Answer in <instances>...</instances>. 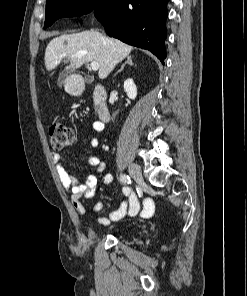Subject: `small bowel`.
<instances>
[{
	"instance_id": "1",
	"label": "small bowel",
	"mask_w": 247,
	"mask_h": 296,
	"mask_svg": "<svg viewBox=\"0 0 247 296\" xmlns=\"http://www.w3.org/2000/svg\"><path fill=\"white\" fill-rule=\"evenodd\" d=\"M103 130V123L100 121H93L87 129V133L91 135L99 134ZM90 145L95 150L100 148V141L98 138L93 137L90 140ZM51 158L56 166V171L61 184L70 191L71 200L75 210L80 215L94 214L102 210L105 206L103 202H97L93 205H88L96 192L98 178L97 175L103 173L105 164L101 155L96 154L84 160V162L94 168L95 173L87 175L84 181L77 180L64 166L65 158L61 154L52 153ZM113 182L112 174H105L102 177L104 185H110ZM124 196L123 201L118 208L108 215L98 217L97 221L101 225H109L112 221H117L123 218L126 214L135 215L139 210V202L136 193L130 187L122 189ZM152 212V205L146 201L143 209V216L148 217Z\"/></svg>"
}]
</instances>
